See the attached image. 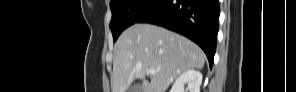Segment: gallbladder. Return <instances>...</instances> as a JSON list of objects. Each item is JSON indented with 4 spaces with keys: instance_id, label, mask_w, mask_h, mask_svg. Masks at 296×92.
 <instances>
[{
    "instance_id": "bac80fb5",
    "label": "gallbladder",
    "mask_w": 296,
    "mask_h": 92,
    "mask_svg": "<svg viewBox=\"0 0 296 92\" xmlns=\"http://www.w3.org/2000/svg\"><path fill=\"white\" fill-rule=\"evenodd\" d=\"M129 92H142V86L140 84L133 85L130 89Z\"/></svg>"
}]
</instances>
